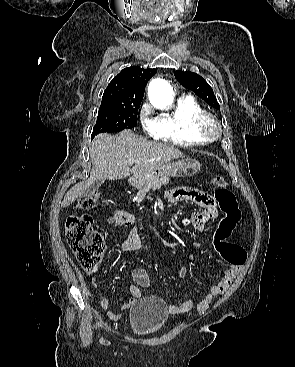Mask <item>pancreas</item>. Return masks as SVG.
<instances>
[{
    "mask_svg": "<svg viewBox=\"0 0 295 367\" xmlns=\"http://www.w3.org/2000/svg\"><path fill=\"white\" fill-rule=\"evenodd\" d=\"M169 180H170L169 177H162L141 187L137 194V200L142 201L145 195L150 191V189L153 190L160 189L162 185H167L169 183Z\"/></svg>",
    "mask_w": 295,
    "mask_h": 367,
    "instance_id": "pancreas-1",
    "label": "pancreas"
}]
</instances>
